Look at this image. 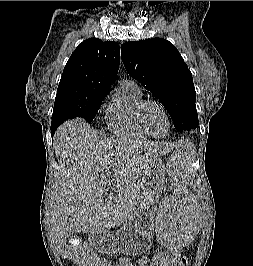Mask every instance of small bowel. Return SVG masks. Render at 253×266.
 <instances>
[{
  "instance_id": "c3829d8e",
  "label": "small bowel",
  "mask_w": 253,
  "mask_h": 266,
  "mask_svg": "<svg viewBox=\"0 0 253 266\" xmlns=\"http://www.w3.org/2000/svg\"><path fill=\"white\" fill-rule=\"evenodd\" d=\"M148 260V258H142L139 262L140 266ZM120 266H134V263L129 258L124 257L120 259Z\"/></svg>"
}]
</instances>
